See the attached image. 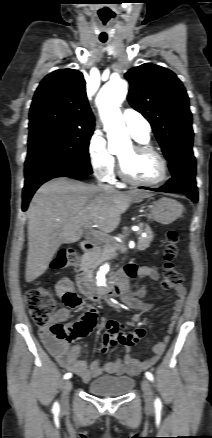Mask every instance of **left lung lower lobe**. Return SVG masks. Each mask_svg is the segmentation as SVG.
Listing matches in <instances>:
<instances>
[{"instance_id":"left-lung-lower-lobe-1","label":"left lung lower lobe","mask_w":212,"mask_h":438,"mask_svg":"<svg viewBox=\"0 0 212 438\" xmlns=\"http://www.w3.org/2000/svg\"><path fill=\"white\" fill-rule=\"evenodd\" d=\"M172 178L158 189V192H182L193 202L198 201V191L196 186V161L192 149H185L178 152L173 158L168 160ZM148 189V188H144Z\"/></svg>"}]
</instances>
